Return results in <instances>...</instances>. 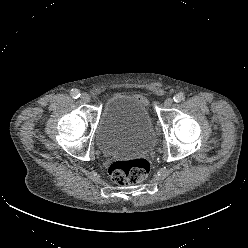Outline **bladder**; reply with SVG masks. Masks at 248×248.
I'll return each mask as SVG.
<instances>
[{"label":"bladder","instance_id":"obj_1","mask_svg":"<svg viewBox=\"0 0 248 248\" xmlns=\"http://www.w3.org/2000/svg\"><path fill=\"white\" fill-rule=\"evenodd\" d=\"M95 140L99 149L108 155L153 150L157 136L146 99L125 92L110 96L102 107Z\"/></svg>","mask_w":248,"mask_h":248}]
</instances>
